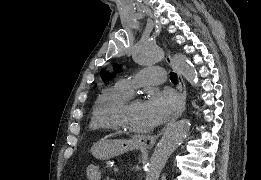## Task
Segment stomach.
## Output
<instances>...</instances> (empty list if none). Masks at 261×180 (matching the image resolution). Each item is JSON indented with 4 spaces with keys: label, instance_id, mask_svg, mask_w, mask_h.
Segmentation results:
<instances>
[{
    "label": "stomach",
    "instance_id": "1",
    "mask_svg": "<svg viewBox=\"0 0 261 180\" xmlns=\"http://www.w3.org/2000/svg\"><path fill=\"white\" fill-rule=\"evenodd\" d=\"M137 148L139 145L133 140L102 139L93 145L91 153L96 159L108 160Z\"/></svg>",
    "mask_w": 261,
    "mask_h": 180
}]
</instances>
